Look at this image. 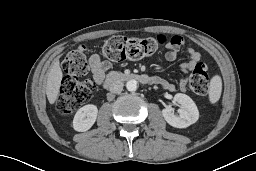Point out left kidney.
I'll return each mask as SVG.
<instances>
[{"label": "left kidney", "instance_id": "obj_1", "mask_svg": "<svg viewBox=\"0 0 256 171\" xmlns=\"http://www.w3.org/2000/svg\"><path fill=\"white\" fill-rule=\"evenodd\" d=\"M174 100L182 106V108L178 109V116L175 115L172 108L162 110V115L169 125L175 128H186L198 120L199 111L188 95L177 93L174 96Z\"/></svg>", "mask_w": 256, "mask_h": 171}]
</instances>
